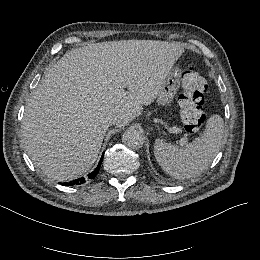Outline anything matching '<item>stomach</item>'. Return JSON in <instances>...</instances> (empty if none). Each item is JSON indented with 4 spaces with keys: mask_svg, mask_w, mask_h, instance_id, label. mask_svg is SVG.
Wrapping results in <instances>:
<instances>
[{
    "mask_svg": "<svg viewBox=\"0 0 260 260\" xmlns=\"http://www.w3.org/2000/svg\"><path fill=\"white\" fill-rule=\"evenodd\" d=\"M181 70L172 69L165 78V81L159 91L158 105H169L180 87Z\"/></svg>",
    "mask_w": 260,
    "mask_h": 260,
    "instance_id": "0dacf381",
    "label": "stomach"
}]
</instances>
